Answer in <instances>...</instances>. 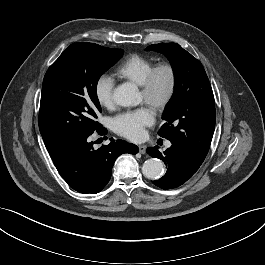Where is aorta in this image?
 Listing matches in <instances>:
<instances>
[{"mask_svg":"<svg viewBox=\"0 0 265 265\" xmlns=\"http://www.w3.org/2000/svg\"><path fill=\"white\" fill-rule=\"evenodd\" d=\"M113 99L119 106H136L141 102V96L135 85L124 83L115 88ZM143 175L151 180L159 179L164 173L163 162L157 158L146 160L142 167Z\"/></svg>","mask_w":265,"mask_h":265,"instance_id":"obj_1","label":"aorta"}]
</instances>
